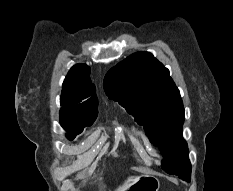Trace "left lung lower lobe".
Here are the masks:
<instances>
[{
    "mask_svg": "<svg viewBox=\"0 0 233 191\" xmlns=\"http://www.w3.org/2000/svg\"><path fill=\"white\" fill-rule=\"evenodd\" d=\"M190 176L191 174H186V175H182V176H178L180 179H183L185 181H190Z\"/></svg>",
    "mask_w": 233,
    "mask_h": 191,
    "instance_id": "obj_1",
    "label": "left lung lower lobe"
}]
</instances>
